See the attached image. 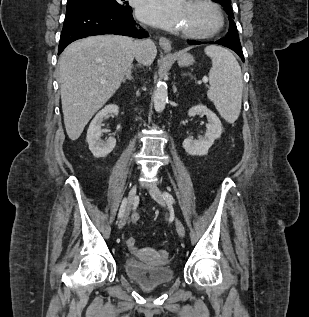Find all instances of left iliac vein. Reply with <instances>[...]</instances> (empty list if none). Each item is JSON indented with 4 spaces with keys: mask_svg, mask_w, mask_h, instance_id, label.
Segmentation results:
<instances>
[{
    "mask_svg": "<svg viewBox=\"0 0 309 317\" xmlns=\"http://www.w3.org/2000/svg\"><path fill=\"white\" fill-rule=\"evenodd\" d=\"M149 193L151 195V197L158 202L160 205L162 206H166V201L162 195V193L160 192L159 188L156 185H152L149 188ZM175 226H176V230L178 235L183 238L185 236V228L184 225L182 224V222L179 219H175Z\"/></svg>",
    "mask_w": 309,
    "mask_h": 317,
    "instance_id": "obj_1",
    "label": "left iliac vein"
}]
</instances>
